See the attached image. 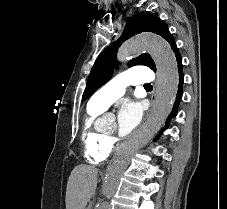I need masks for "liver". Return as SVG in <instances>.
Segmentation results:
<instances>
[{
  "instance_id": "liver-1",
  "label": "liver",
  "mask_w": 227,
  "mask_h": 209,
  "mask_svg": "<svg viewBox=\"0 0 227 209\" xmlns=\"http://www.w3.org/2000/svg\"><path fill=\"white\" fill-rule=\"evenodd\" d=\"M94 167L78 165L73 169L67 183L66 209H85L96 187Z\"/></svg>"
}]
</instances>
